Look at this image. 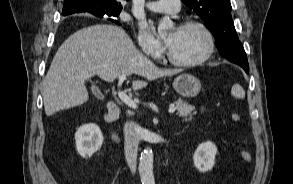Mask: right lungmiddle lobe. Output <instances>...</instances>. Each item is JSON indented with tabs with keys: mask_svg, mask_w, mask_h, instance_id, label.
<instances>
[{
	"mask_svg": "<svg viewBox=\"0 0 293 184\" xmlns=\"http://www.w3.org/2000/svg\"><path fill=\"white\" fill-rule=\"evenodd\" d=\"M120 11H112V10H103L100 11L99 14L100 15H107L109 17H118L119 16ZM112 21H114L113 19H111Z\"/></svg>",
	"mask_w": 293,
	"mask_h": 184,
	"instance_id": "1",
	"label": "right lung middle lobe"
}]
</instances>
